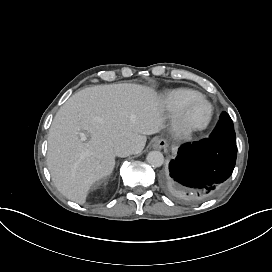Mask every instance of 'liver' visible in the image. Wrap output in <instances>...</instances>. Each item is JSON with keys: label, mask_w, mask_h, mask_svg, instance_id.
<instances>
[{"label": "liver", "mask_w": 272, "mask_h": 272, "mask_svg": "<svg viewBox=\"0 0 272 272\" xmlns=\"http://www.w3.org/2000/svg\"><path fill=\"white\" fill-rule=\"evenodd\" d=\"M161 128L154 93L147 88L115 84L80 90L60 107L49 131L47 165L55 186L84 204L91 186L112 175L118 142L128 139L140 153L146 135ZM79 131L90 139L83 142Z\"/></svg>", "instance_id": "liver-1"}]
</instances>
